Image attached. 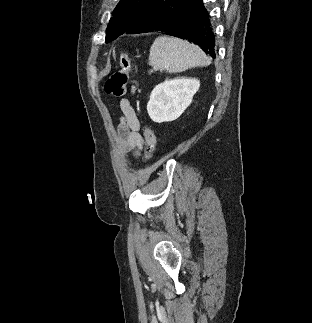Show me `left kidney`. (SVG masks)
<instances>
[{
    "label": "left kidney",
    "instance_id": "5707ae66",
    "mask_svg": "<svg viewBox=\"0 0 312 323\" xmlns=\"http://www.w3.org/2000/svg\"><path fill=\"white\" fill-rule=\"evenodd\" d=\"M200 82L195 78H177L158 84L151 92L147 112L153 122H173L190 106Z\"/></svg>",
    "mask_w": 312,
    "mask_h": 323
}]
</instances>
